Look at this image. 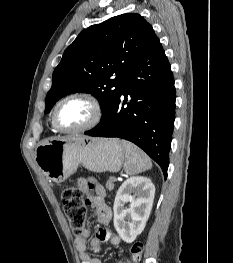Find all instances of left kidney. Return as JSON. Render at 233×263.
Segmentation results:
<instances>
[{
    "instance_id": "obj_1",
    "label": "left kidney",
    "mask_w": 233,
    "mask_h": 263,
    "mask_svg": "<svg viewBox=\"0 0 233 263\" xmlns=\"http://www.w3.org/2000/svg\"><path fill=\"white\" fill-rule=\"evenodd\" d=\"M154 195V184L142 176L127 179L118 189L113 206L114 227L124 242L132 243L144 230ZM128 202L130 207L124 208Z\"/></svg>"
}]
</instances>
